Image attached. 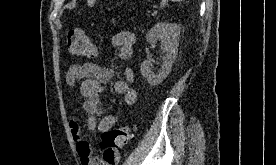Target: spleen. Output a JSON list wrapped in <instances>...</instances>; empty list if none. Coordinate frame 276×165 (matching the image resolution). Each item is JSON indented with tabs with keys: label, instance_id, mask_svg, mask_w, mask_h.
I'll use <instances>...</instances> for the list:
<instances>
[{
	"label": "spleen",
	"instance_id": "spleen-1",
	"mask_svg": "<svg viewBox=\"0 0 276 165\" xmlns=\"http://www.w3.org/2000/svg\"><path fill=\"white\" fill-rule=\"evenodd\" d=\"M172 1H177V2H179V1H182V0H172Z\"/></svg>",
	"mask_w": 276,
	"mask_h": 165
}]
</instances>
